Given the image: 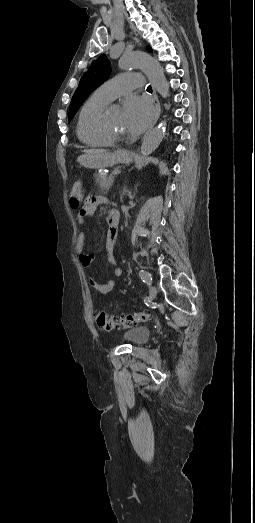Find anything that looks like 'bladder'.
<instances>
[{"instance_id":"bladder-1","label":"bladder","mask_w":255,"mask_h":523,"mask_svg":"<svg viewBox=\"0 0 255 523\" xmlns=\"http://www.w3.org/2000/svg\"><path fill=\"white\" fill-rule=\"evenodd\" d=\"M150 330L146 327H132L125 333L124 337L128 338L131 345H141L149 339Z\"/></svg>"}]
</instances>
